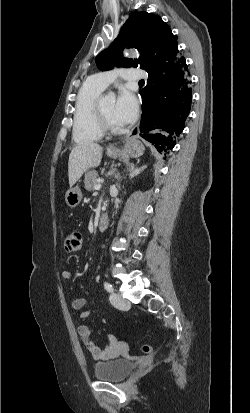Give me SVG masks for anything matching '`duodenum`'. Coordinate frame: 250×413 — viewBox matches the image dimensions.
I'll return each instance as SVG.
<instances>
[{
	"mask_svg": "<svg viewBox=\"0 0 250 413\" xmlns=\"http://www.w3.org/2000/svg\"><path fill=\"white\" fill-rule=\"evenodd\" d=\"M108 224H109V218L106 214H104V215L100 216V218L97 222V229L99 231H102V230L107 228Z\"/></svg>",
	"mask_w": 250,
	"mask_h": 413,
	"instance_id": "410a0bca",
	"label": "duodenum"
}]
</instances>
